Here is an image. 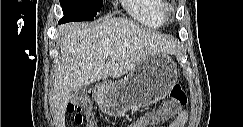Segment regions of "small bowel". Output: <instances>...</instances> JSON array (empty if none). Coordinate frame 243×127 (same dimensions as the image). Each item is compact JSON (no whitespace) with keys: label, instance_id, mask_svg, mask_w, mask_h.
<instances>
[{"label":"small bowel","instance_id":"1","mask_svg":"<svg viewBox=\"0 0 243 127\" xmlns=\"http://www.w3.org/2000/svg\"><path fill=\"white\" fill-rule=\"evenodd\" d=\"M155 117L153 115H148L142 119H140L136 124H133L132 127H145V126H154L155 125ZM188 119V113L186 110H183L178 117L172 122L169 127H184ZM96 123L91 121L89 123V127H96Z\"/></svg>","mask_w":243,"mask_h":127}]
</instances>
